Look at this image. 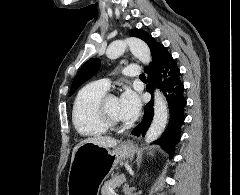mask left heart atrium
Instances as JSON below:
<instances>
[{"label": "left heart atrium", "mask_w": 240, "mask_h": 195, "mask_svg": "<svg viewBox=\"0 0 240 195\" xmlns=\"http://www.w3.org/2000/svg\"><path fill=\"white\" fill-rule=\"evenodd\" d=\"M120 112L124 121L135 120L141 108L139 96L132 90H126L119 98Z\"/></svg>", "instance_id": "1"}]
</instances>
